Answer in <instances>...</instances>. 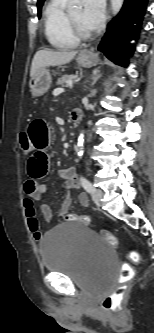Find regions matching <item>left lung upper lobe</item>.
<instances>
[{
	"label": "left lung upper lobe",
	"mask_w": 154,
	"mask_h": 333,
	"mask_svg": "<svg viewBox=\"0 0 154 333\" xmlns=\"http://www.w3.org/2000/svg\"><path fill=\"white\" fill-rule=\"evenodd\" d=\"M44 1H45V0H38V3H37L38 12H40V10H41V7H42V5H43Z\"/></svg>",
	"instance_id": "1"
}]
</instances>
